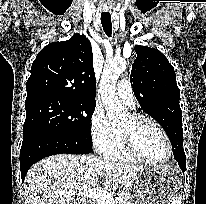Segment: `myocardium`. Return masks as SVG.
Returning a JSON list of instances; mask_svg holds the SVG:
<instances>
[{"label": "myocardium", "instance_id": "1", "mask_svg": "<svg viewBox=\"0 0 206 204\" xmlns=\"http://www.w3.org/2000/svg\"><path fill=\"white\" fill-rule=\"evenodd\" d=\"M128 118H129V122L127 126H119V131L121 134L122 142L126 150L128 151V153L132 155L134 158H136L137 160L147 163V164H151V165H161V164H165L166 162H168L173 156V146H172L171 139L168 133L166 132V130L155 120L143 114L132 113L128 116ZM145 123L150 124L153 127H155L162 134V136L164 137L166 141L168 153H167V156L162 160H151L145 157L139 151L136 145L135 131L138 127H140L141 125Z\"/></svg>", "mask_w": 206, "mask_h": 204}]
</instances>
